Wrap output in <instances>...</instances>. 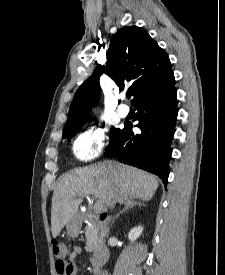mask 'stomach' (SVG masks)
<instances>
[{
	"instance_id": "obj_1",
	"label": "stomach",
	"mask_w": 225,
	"mask_h": 275,
	"mask_svg": "<svg viewBox=\"0 0 225 275\" xmlns=\"http://www.w3.org/2000/svg\"><path fill=\"white\" fill-rule=\"evenodd\" d=\"M79 230H80L79 222L75 218H72L67 223V232H68V234L72 237H75V236L78 235Z\"/></svg>"
}]
</instances>
